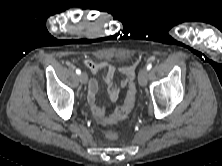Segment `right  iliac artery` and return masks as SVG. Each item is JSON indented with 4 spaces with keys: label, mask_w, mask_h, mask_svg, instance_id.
Masks as SVG:
<instances>
[{
    "label": "right iliac artery",
    "mask_w": 222,
    "mask_h": 166,
    "mask_svg": "<svg viewBox=\"0 0 222 166\" xmlns=\"http://www.w3.org/2000/svg\"><path fill=\"white\" fill-rule=\"evenodd\" d=\"M76 74H78V75H80V74H81L80 69H76Z\"/></svg>",
    "instance_id": "82829eb1"
}]
</instances>
